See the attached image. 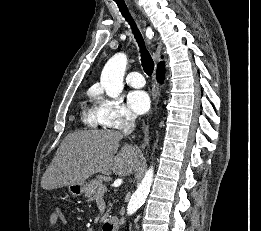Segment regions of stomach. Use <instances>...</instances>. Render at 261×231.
I'll return each instance as SVG.
<instances>
[{"mask_svg": "<svg viewBox=\"0 0 261 231\" xmlns=\"http://www.w3.org/2000/svg\"><path fill=\"white\" fill-rule=\"evenodd\" d=\"M85 187H86V184L84 182L82 184L70 185L68 187V190H69L70 194H72L73 196H81L85 193Z\"/></svg>", "mask_w": 261, "mask_h": 231, "instance_id": "obj_1", "label": "stomach"}]
</instances>
